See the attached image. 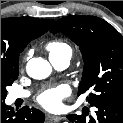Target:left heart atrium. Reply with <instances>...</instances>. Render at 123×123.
I'll use <instances>...</instances> for the list:
<instances>
[{"mask_svg":"<svg viewBox=\"0 0 123 123\" xmlns=\"http://www.w3.org/2000/svg\"><path fill=\"white\" fill-rule=\"evenodd\" d=\"M67 87L59 85L44 90L37 98L39 104L48 110H56L61 106V101L68 95Z\"/></svg>","mask_w":123,"mask_h":123,"instance_id":"39dd6f15","label":"left heart atrium"}]
</instances>
